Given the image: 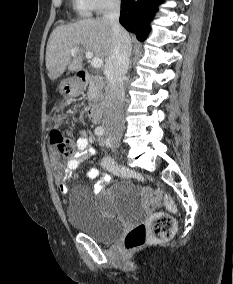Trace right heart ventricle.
Wrapping results in <instances>:
<instances>
[{
	"mask_svg": "<svg viewBox=\"0 0 233 284\" xmlns=\"http://www.w3.org/2000/svg\"><path fill=\"white\" fill-rule=\"evenodd\" d=\"M77 10L83 15H89L90 8L86 0H75Z\"/></svg>",
	"mask_w": 233,
	"mask_h": 284,
	"instance_id": "obj_1",
	"label": "right heart ventricle"
}]
</instances>
